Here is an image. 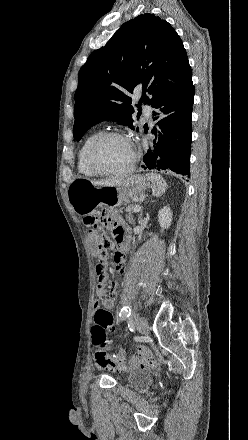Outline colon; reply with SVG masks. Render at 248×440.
<instances>
[{"mask_svg":"<svg viewBox=\"0 0 248 440\" xmlns=\"http://www.w3.org/2000/svg\"><path fill=\"white\" fill-rule=\"evenodd\" d=\"M106 219L102 213H94L84 218L85 224L91 227L90 240L92 248L98 259L107 256V250L111 245L109 237L101 228V223ZM95 324L92 329L93 342L96 346L95 360L103 367L118 368L126 363V357L122 350L109 354L107 348L110 345L108 334L113 332L114 320L112 314L102 307H97L94 315Z\"/></svg>","mask_w":248,"mask_h":440,"instance_id":"5ec220e1","label":"colon"}]
</instances>
